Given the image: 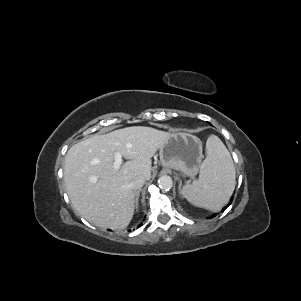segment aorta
<instances>
[{
  "mask_svg": "<svg viewBox=\"0 0 301 301\" xmlns=\"http://www.w3.org/2000/svg\"><path fill=\"white\" fill-rule=\"evenodd\" d=\"M158 186L162 190H170L173 186V181L170 176L164 175L158 179Z\"/></svg>",
  "mask_w": 301,
  "mask_h": 301,
  "instance_id": "762f6f07",
  "label": "aorta"
}]
</instances>
